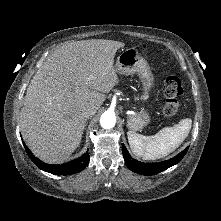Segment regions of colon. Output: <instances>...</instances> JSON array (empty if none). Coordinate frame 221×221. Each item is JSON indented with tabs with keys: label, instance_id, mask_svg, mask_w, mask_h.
<instances>
[{
	"label": "colon",
	"instance_id": "obj_1",
	"mask_svg": "<svg viewBox=\"0 0 221 221\" xmlns=\"http://www.w3.org/2000/svg\"><path fill=\"white\" fill-rule=\"evenodd\" d=\"M163 92L166 96V103L163 108L165 116H173L179 109L178 98L183 94L181 81L176 76L166 78L163 85Z\"/></svg>",
	"mask_w": 221,
	"mask_h": 221
}]
</instances>
